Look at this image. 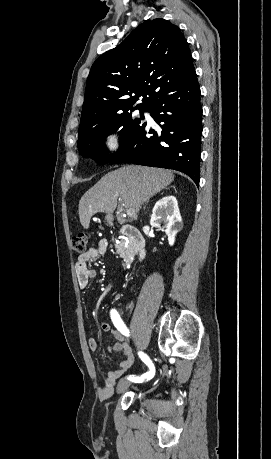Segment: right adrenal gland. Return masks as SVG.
<instances>
[{
	"label": "right adrenal gland",
	"mask_w": 271,
	"mask_h": 459,
	"mask_svg": "<svg viewBox=\"0 0 271 459\" xmlns=\"http://www.w3.org/2000/svg\"><path fill=\"white\" fill-rule=\"evenodd\" d=\"M147 204H148V202H147ZM147 204H146V206H147ZM146 206H144V210H146Z\"/></svg>",
	"instance_id": "1"
}]
</instances>
